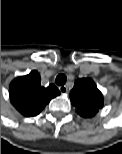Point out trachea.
<instances>
[{
    "label": "trachea",
    "instance_id": "trachea-1",
    "mask_svg": "<svg viewBox=\"0 0 122 154\" xmlns=\"http://www.w3.org/2000/svg\"><path fill=\"white\" fill-rule=\"evenodd\" d=\"M66 76L64 74H59L57 77H56V84L57 85H64L66 83Z\"/></svg>",
    "mask_w": 122,
    "mask_h": 154
}]
</instances>
